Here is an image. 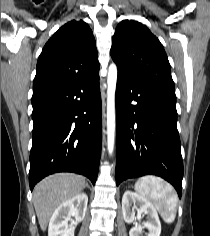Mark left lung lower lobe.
I'll use <instances>...</instances> for the list:
<instances>
[{
  "mask_svg": "<svg viewBox=\"0 0 210 236\" xmlns=\"http://www.w3.org/2000/svg\"><path fill=\"white\" fill-rule=\"evenodd\" d=\"M116 184L147 174L182 194L183 161L175 89L118 76L116 87Z\"/></svg>",
  "mask_w": 210,
  "mask_h": 236,
  "instance_id": "1",
  "label": "left lung lower lobe"
}]
</instances>
